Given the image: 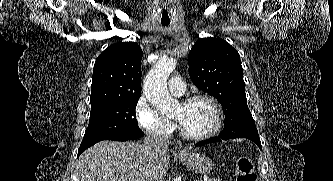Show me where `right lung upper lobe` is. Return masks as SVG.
I'll use <instances>...</instances> for the list:
<instances>
[{"mask_svg":"<svg viewBox=\"0 0 333 181\" xmlns=\"http://www.w3.org/2000/svg\"><path fill=\"white\" fill-rule=\"evenodd\" d=\"M142 49L135 42L113 44L96 59L91 108L130 99L141 95Z\"/></svg>","mask_w":333,"mask_h":181,"instance_id":"1","label":"right lung upper lobe"}]
</instances>
